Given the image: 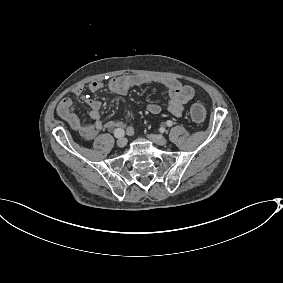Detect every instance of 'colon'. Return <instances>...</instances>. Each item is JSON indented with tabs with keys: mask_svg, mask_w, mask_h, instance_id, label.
I'll return each mask as SVG.
<instances>
[{
	"mask_svg": "<svg viewBox=\"0 0 283 283\" xmlns=\"http://www.w3.org/2000/svg\"><path fill=\"white\" fill-rule=\"evenodd\" d=\"M190 116L196 122H201L206 117L205 107L200 103H194L190 108Z\"/></svg>",
	"mask_w": 283,
	"mask_h": 283,
	"instance_id": "colon-1",
	"label": "colon"
}]
</instances>
